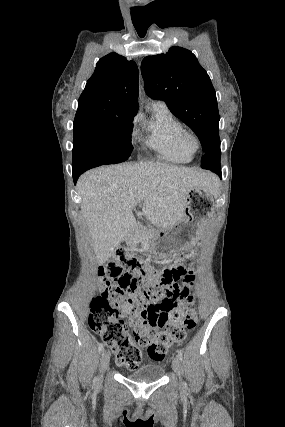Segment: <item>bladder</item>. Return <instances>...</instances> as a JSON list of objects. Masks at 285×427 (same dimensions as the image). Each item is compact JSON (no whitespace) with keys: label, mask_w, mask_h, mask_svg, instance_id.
<instances>
[{"label":"bladder","mask_w":285,"mask_h":427,"mask_svg":"<svg viewBox=\"0 0 285 427\" xmlns=\"http://www.w3.org/2000/svg\"><path fill=\"white\" fill-rule=\"evenodd\" d=\"M164 373V368L160 364H146L136 371L129 373L126 378L136 383H154L160 380Z\"/></svg>","instance_id":"1"}]
</instances>
